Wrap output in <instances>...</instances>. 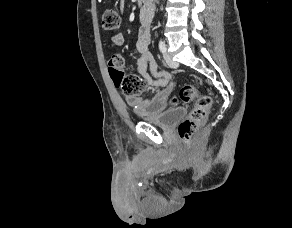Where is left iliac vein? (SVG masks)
I'll return each instance as SVG.
<instances>
[{"mask_svg": "<svg viewBox=\"0 0 292 228\" xmlns=\"http://www.w3.org/2000/svg\"><path fill=\"white\" fill-rule=\"evenodd\" d=\"M164 59L166 61V63L168 64V66H170L171 68H176L178 67V63L176 61H174L171 56L165 52L164 54Z\"/></svg>", "mask_w": 292, "mask_h": 228, "instance_id": "obj_1", "label": "left iliac vein"}]
</instances>
